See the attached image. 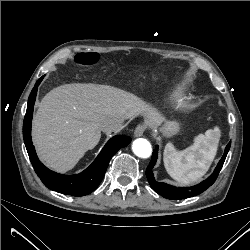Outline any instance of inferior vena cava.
Returning <instances> with one entry per match:
<instances>
[{"label": "inferior vena cava", "instance_id": "inferior-vena-cava-1", "mask_svg": "<svg viewBox=\"0 0 250 250\" xmlns=\"http://www.w3.org/2000/svg\"><path fill=\"white\" fill-rule=\"evenodd\" d=\"M124 128L123 119H110L103 125V131L105 132H118Z\"/></svg>", "mask_w": 250, "mask_h": 250}]
</instances>
